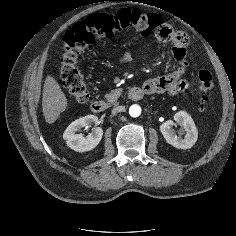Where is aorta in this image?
Listing matches in <instances>:
<instances>
[{"label": "aorta", "instance_id": "obj_1", "mask_svg": "<svg viewBox=\"0 0 236 236\" xmlns=\"http://www.w3.org/2000/svg\"><path fill=\"white\" fill-rule=\"evenodd\" d=\"M129 114L131 117H138L141 114V107L137 104L131 105L129 108Z\"/></svg>", "mask_w": 236, "mask_h": 236}]
</instances>
